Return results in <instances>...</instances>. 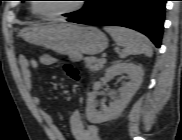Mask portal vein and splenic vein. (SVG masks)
<instances>
[{"label":"portal vein and splenic vein","mask_w":182,"mask_h":140,"mask_svg":"<svg viewBox=\"0 0 182 140\" xmlns=\"http://www.w3.org/2000/svg\"><path fill=\"white\" fill-rule=\"evenodd\" d=\"M101 60H102V62H106V59H105V57H102V59H101Z\"/></svg>","instance_id":"1"}]
</instances>
